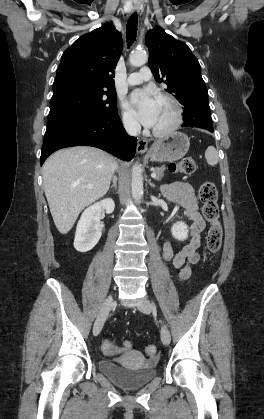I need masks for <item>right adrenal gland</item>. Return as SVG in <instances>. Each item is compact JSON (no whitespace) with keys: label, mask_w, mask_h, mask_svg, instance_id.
<instances>
[{"label":"right adrenal gland","mask_w":264,"mask_h":419,"mask_svg":"<svg viewBox=\"0 0 264 419\" xmlns=\"http://www.w3.org/2000/svg\"><path fill=\"white\" fill-rule=\"evenodd\" d=\"M111 188H115V190L117 189V177L114 176L113 178V185L111 186Z\"/></svg>","instance_id":"obj_1"}]
</instances>
